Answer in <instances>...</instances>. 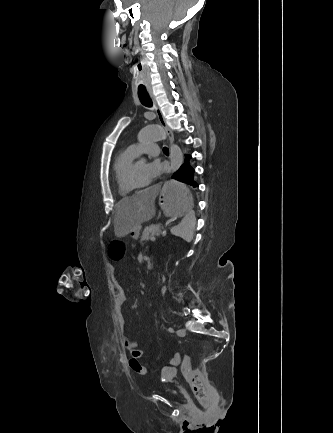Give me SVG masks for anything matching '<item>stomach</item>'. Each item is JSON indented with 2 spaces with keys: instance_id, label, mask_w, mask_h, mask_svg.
Listing matches in <instances>:
<instances>
[{
  "instance_id": "obj_1",
  "label": "stomach",
  "mask_w": 333,
  "mask_h": 433,
  "mask_svg": "<svg viewBox=\"0 0 333 433\" xmlns=\"http://www.w3.org/2000/svg\"><path fill=\"white\" fill-rule=\"evenodd\" d=\"M162 201V214L165 220H183L188 210H193V201L186 183H177L175 176L168 178V183H163L161 192H158ZM134 239L138 238L139 231H132Z\"/></svg>"
}]
</instances>
